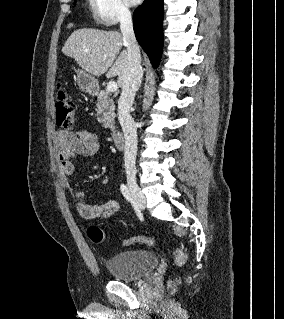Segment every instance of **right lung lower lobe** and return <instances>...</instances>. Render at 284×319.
<instances>
[{
  "mask_svg": "<svg viewBox=\"0 0 284 319\" xmlns=\"http://www.w3.org/2000/svg\"><path fill=\"white\" fill-rule=\"evenodd\" d=\"M136 38L157 67L163 47V0H145L133 14Z\"/></svg>",
  "mask_w": 284,
  "mask_h": 319,
  "instance_id": "right-lung-lower-lobe-1",
  "label": "right lung lower lobe"
}]
</instances>
